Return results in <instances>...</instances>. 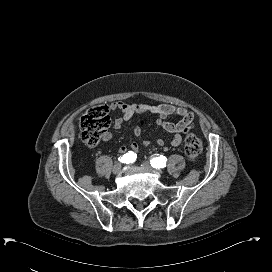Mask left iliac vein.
Instances as JSON below:
<instances>
[{
  "label": "left iliac vein",
  "instance_id": "left-iliac-vein-1",
  "mask_svg": "<svg viewBox=\"0 0 272 272\" xmlns=\"http://www.w3.org/2000/svg\"><path fill=\"white\" fill-rule=\"evenodd\" d=\"M142 166L145 167V168H150V164H149L148 162H144V163L142 164ZM156 171H157L159 174L162 173V170H161L160 168H156Z\"/></svg>",
  "mask_w": 272,
  "mask_h": 272
}]
</instances>
